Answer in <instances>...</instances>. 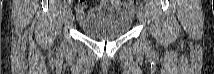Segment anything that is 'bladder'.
Wrapping results in <instances>:
<instances>
[{
	"label": "bladder",
	"mask_w": 214,
	"mask_h": 74,
	"mask_svg": "<svg viewBox=\"0 0 214 74\" xmlns=\"http://www.w3.org/2000/svg\"><path fill=\"white\" fill-rule=\"evenodd\" d=\"M111 2V1H109ZM132 13L124 6H97L80 23V29L87 37L114 39L126 34L132 25Z\"/></svg>",
	"instance_id": "obj_1"
}]
</instances>
